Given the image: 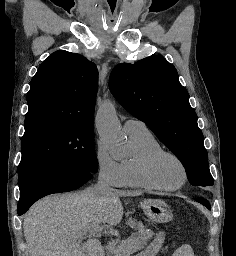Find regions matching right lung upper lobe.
I'll list each match as a JSON object with an SVG mask.
<instances>
[{"mask_svg":"<svg viewBox=\"0 0 236 256\" xmlns=\"http://www.w3.org/2000/svg\"><path fill=\"white\" fill-rule=\"evenodd\" d=\"M98 71L85 57L52 53L32 78L25 122L37 119L93 124Z\"/></svg>","mask_w":236,"mask_h":256,"instance_id":"right-lung-upper-lobe-1","label":"right lung upper lobe"}]
</instances>
